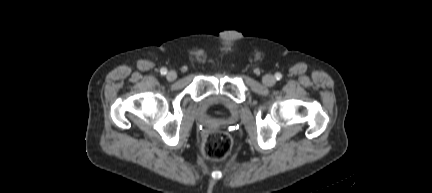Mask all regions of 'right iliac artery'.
Masks as SVG:
<instances>
[{"mask_svg": "<svg viewBox=\"0 0 432 193\" xmlns=\"http://www.w3.org/2000/svg\"><path fill=\"white\" fill-rule=\"evenodd\" d=\"M160 73H161L162 75H165V74L167 73V69H166V68H161V69H160Z\"/></svg>", "mask_w": 432, "mask_h": 193, "instance_id": "1", "label": "right iliac artery"}]
</instances>
